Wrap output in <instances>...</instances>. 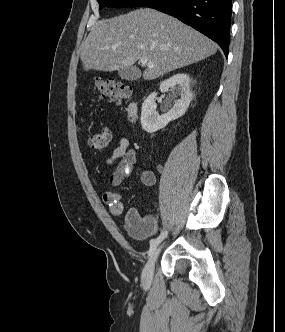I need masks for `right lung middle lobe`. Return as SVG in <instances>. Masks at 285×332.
<instances>
[{"label":"right lung middle lobe","instance_id":"obj_1","mask_svg":"<svg viewBox=\"0 0 285 332\" xmlns=\"http://www.w3.org/2000/svg\"><path fill=\"white\" fill-rule=\"evenodd\" d=\"M100 9L103 7H139L144 6L150 0H97Z\"/></svg>","mask_w":285,"mask_h":332}]
</instances>
